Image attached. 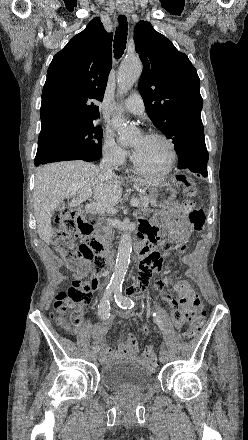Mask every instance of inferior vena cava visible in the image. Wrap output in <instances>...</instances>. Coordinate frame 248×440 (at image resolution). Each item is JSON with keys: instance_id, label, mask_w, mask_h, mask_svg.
<instances>
[{"instance_id": "inferior-vena-cava-1", "label": "inferior vena cava", "mask_w": 248, "mask_h": 440, "mask_svg": "<svg viewBox=\"0 0 248 440\" xmlns=\"http://www.w3.org/2000/svg\"><path fill=\"white\" fill-rule=\"evenodd\" d=\"M100 169L106 175H114L113 160H112L111 155H109V154L105 155V157L102 159V161L100 163ZM106 263L110 268H112V266L114 264L112 254H109L106 256Z\"/></svg>"}]
</instances>
